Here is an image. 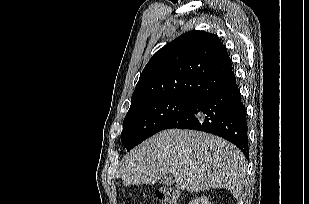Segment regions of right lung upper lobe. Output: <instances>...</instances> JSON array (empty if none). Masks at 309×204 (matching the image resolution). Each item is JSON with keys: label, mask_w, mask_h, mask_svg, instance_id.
I'll use <instances>...</instances> for the list:
<instances>
[{"label": "right lung upper lobe", "mask_w": 309, "mask_h": 204, "mask_svg": "<svg viewBox=\"0 0 309 204\" xmlns=\"http://www.w3.org/2000/svg\"><path fill=\"white\" fill-rule=\"evenodd\" d=\"M235 81L226 47L214 34L190 31L174 39L149 60L131 105L160 97L201 99Z\"/></svg>", "instance_id": "cb5924a9"}]
</instances>
